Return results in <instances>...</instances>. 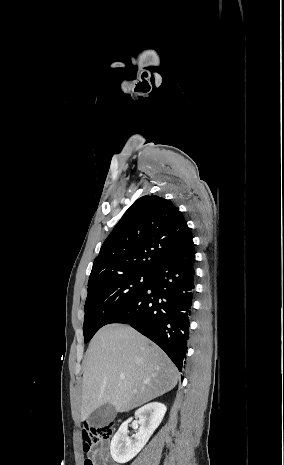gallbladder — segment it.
Here are the masks:
<instances>
[{
    "label": "gallbladder",
    "instance_id": "obj_1",
    "mask_svg": "<svg viewBox=\"0 0 284 465\" xmlns=\"http://www.w3.org/2000/svg\"><path fill=\"white\" fill-rule=\"evenodd\" d=\"M116 415L117 411L113 405H102L88 417L87 423L90 427L100 429V427H106L111 421H114Z\"/></svg>",
    "mask_w": 284,
    "mask_h": 465
}]
</instances>
